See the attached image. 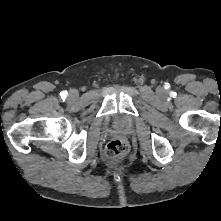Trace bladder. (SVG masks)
<instances>
[{
    "mask_svg": "<svg viewBox=\"0 0 221 221\" xmlns=\"http://www.w3.org/2000/svg\"><path fill=\"white\" fill-rule=\"evenodd\" d=\"M116 124H120V121H119V120H117V121H116Z\"/></svg>",
    "mask_w": 221,
    "mask_h": 221,
    "instance_id": "1",
    "label": "bladder"
}]
</instances>
